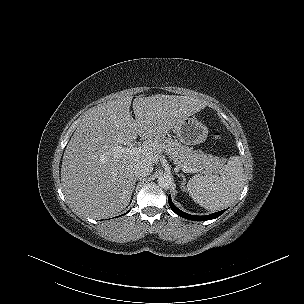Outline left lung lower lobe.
<instances>
[{"label":"left lung lower lobe","mask_w":304,"mask_h":304,"mask_svg":"<svg viewBox=\"0 0 304 304\" xmlns=\"http://www.w3.org/2000/svg\"><path fill=\"white\" fill-rule=\"evenodd\" d=\"M168 202H169V205L171 207V209L179 216L183 217V218H186V219H189V220H194V221H205V220H211V219H215L217 217H219L222 213H224L226 210H222V211H219V212H216V213H213V214H210V215H206V216H195V215H190V214H187L181 210H179L172 202L171 200V197L169 195L168 197Z\"/></svg>","instance_id":"1"}]
</instances>
